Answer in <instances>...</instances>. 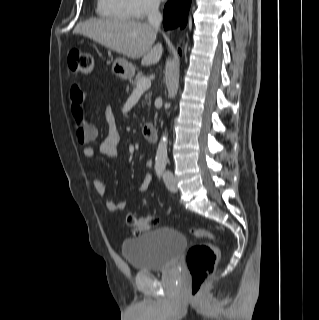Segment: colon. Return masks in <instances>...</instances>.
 <instances>
[{
    "label": "colon",
    "instance_id": "5ec220e1",
    "mask_svg": "<svg viewBox=\"0 0 319 320\" xmlns=\"http://www.w3.org/2000/svg\"><path fill=\"white\" fill-rule=\"evenodd\" d=\"M68 64L72 72L82 76H89L93 72L94 59L91 54L75 49L68 55ZM74 124L76 139L79 143L84 144L94 139L92 128L88 127L84 120L74 119ZM126 222L130 232L138 235L157 227L160 220L154 215L129 214ZM190 233L195 238L210 241L190 247L185 258L191 276L189 294L192 297H199L202 293L203 284L215 271L219 245L217 237L206 229L194 228L190 230Z\"/></svg>",
    "mask_w": 319,
    "mask_h": 320
}]
</instances>
